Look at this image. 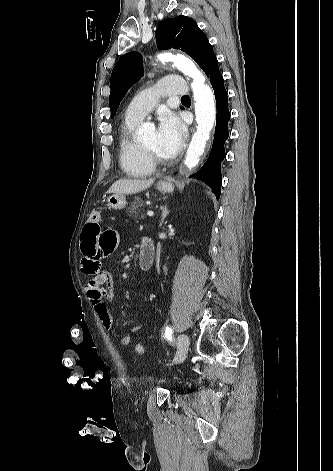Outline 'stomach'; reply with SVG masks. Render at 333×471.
I'll list each match as a JSON object with an SVG mask.
<instances>
[{
	"label": "stomach",
	"instance_id": "1",
	"mask_svg": "<svg viewBox=\"0 0 333 471\" xmlns=\"http://www.w3.org/2000/svg\"><path fill=\"white\" fill-rule=\"evenodd\" d=\"M156 188L162 193H171L174 190L173 184L167 180L159 181ZM126 204V196L124 194H113L107 199V206L115 210L123 209Z\"/></svg>",
	"mask_w": 333,
	"mask_h": 471
}]
</instances>
